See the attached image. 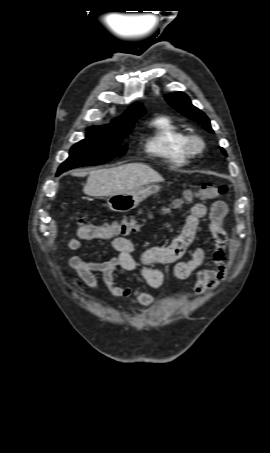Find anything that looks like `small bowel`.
Returning <instances> with one entry per match:
<instances>
[{"label":"small bowel","instance_id":"1","mask_svg":"<svg viewBox=\"0 0 270 453\" xmlns=\"http://www.w3.org/2000/svg\"><path fill=\"white\" fill-rule=\"evenodd\" d=\"M227 205L224 201H215L210 208L202 203H195L184 223L168 245H155L138 251L132 240L126 237L112 239V249L115 256L109 260H89L80 256L69 258V265L77 276L72 278L76 289L83 291L88 287L95 291H103L96 273L101 275L105 286V292L113 298H132L140 305L152 304L156 297L140 288L127 286L122 287L116 283L114 273L118 270L134 271L139 270L141 279L150 288H160L168 274L176 280H185L191 276L195 277L194 291L197 295L216 288L222 283L227 275V248L229 239L227 234ZM207 218V231L214 241V249L211 260L215 265L214 269L204 267L206 261V249L199 246L193 249L188 260L180 261L194 241L200 226V221ZM97 239H105L96 237ZM89 238L81 236L67 240V247L71 250H78L83 246L84 241ZM136 255L138 257H136ZM172 264L173 267L167 273L158 269L156 265Z\"/></svg>","mask_w":270,"mask_h":453}]
</instances>
